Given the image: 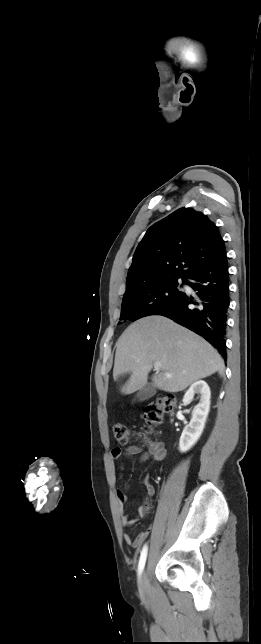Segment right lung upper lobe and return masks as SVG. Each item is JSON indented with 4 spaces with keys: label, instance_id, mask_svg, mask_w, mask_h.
I'll return each mask as SVG.
<instances>
[{
    "label": "right lung upper lobe",
    "instance_id": "cb5924a9",
    "mask_svg": "<svg viewBox=\"0 0 261 644\" xmlns=\"http://www.w3.org/2000/svg\"><path fill=\"white\" fill-rule=\"evenodd\" d=\"M226 257L218 227L192 208H181L151 226L139 243L129 268L126 289L193 270Z\"/></svg>",
    "mask_w": 261,
    "mask_h": 644
}]
</instances>
